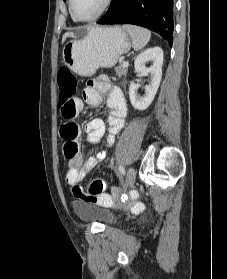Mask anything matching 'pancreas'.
I'll list each match as a JSON object with an SVG mask.
<instances>
[{"mask_svg": "<svg viewBox=\"0 0 227 279\" xmlns=\"http://www.w3.org/2000/svg\"><path fill=\"white\" fill-rule=\"evenodd\" d=\"M128 67H124L123 65H120L115 68V72L119 77L125 76L127 73Z\"/></svg>", "mask_w": 227, "mask_h": 279, "instance_id": "1", "label": "pancreas"}]
</instances>
